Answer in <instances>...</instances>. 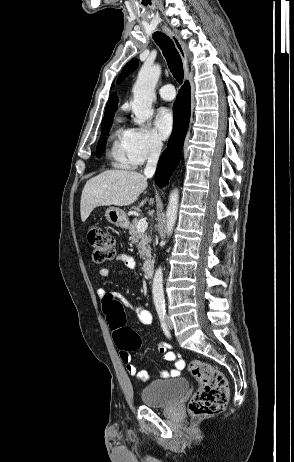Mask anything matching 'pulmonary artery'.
Segmentation results:
<instances>
[{
  "label": "pulmonary artery",
  "instance_id": "obj_1",
  "mask_svg": "<svg viewBox=\"0 0 294 462\" xmlns=\"http://www.w3.org/2000/svg\"><path fill=\"white\" fill-rule=\"evenodd\" d=\"M159 96L161 97V99H163L165 101L173 100L175 98V96H176L173 85L167 84V85L163 86L162 88H160Z\"/></svg>",
  "mask_w": 294,
  "mask_h": 462
}]
</instances>
